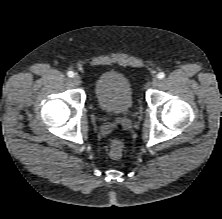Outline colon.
I'll return each mask as SVG.
<instances>
[{
    "mask_svg": "<svg viewBox=\"0 0 222 219\" xmlns=\"http://www.w3.org/2000/svg\"><path fill=\"white\" fill-rule=\"evenodd\" d=\"M124 144L120 140H113L109 147V156L112 159H119L123 154Z\"/></svg>",
    "mask_w": 222,
    "mask_h": 219,
    "instance_id": "1",
    "label": "colon"
}]
</instances>
